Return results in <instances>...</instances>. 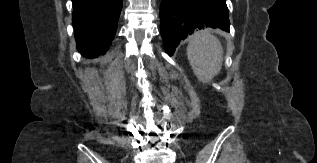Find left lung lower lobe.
Listing matches in <instances>:
<instances>
[{
    "instance_id": "1",
    "label": "left lung lower lobe",
    "mask_w": 317,
    "mask_h": 163,
    "mask_svg": "<svg viewBox=\"0 0 317 163\" xmlns=\"http://www.w3.org/2000/svg\"><path fill=\"white\" fill-rule=\"evenodd\" d=\"M160 19V32L169 56L195 30L218 27L230 31L226 0H164Z\"/></svg>"
}]
</instances>
